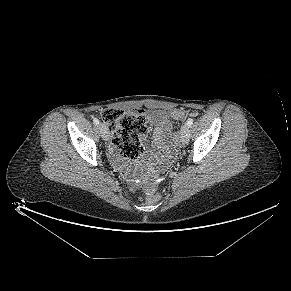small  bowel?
Wrapping results in <instances>:
<instances>
[{
	"label": "small bowel",
	"mask_w": 291,
	"mask_h": 291,
	"mask_svg": "<svg viewBox=\"0 0 291 291\" xmlns=\"http://www.w3.org/2000/svg\"><path fill=\"white\" fill-rule=\"evenodd\" d=\"M150 121L154 126L152 134V147L156 151L147 152L143 161L144 171L147 175H152L158 169L167 166L173 158V150L171 145L172 124L169 116L162 110H156L151 113ZM147 131L144 132L140 139L144 141ZM121 166L131 174L126 163Z\"/></svg>",
	"instance_id": "obj_1"
}]
</instances>
